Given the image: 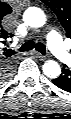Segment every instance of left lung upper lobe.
I'll return each mask as SVG.
<instances>
[{
	"mask_svg": "<svg viewBox=\"0 0 71 119\" xmlns=\"http://www.w3.org/2000/svg\"><path fill=\"white\" fill-rule=\"evenodd\" d=\"M58 16L63 27L70 35L71 29V0H41Z\"/></svg>",
	"mask_w": 71,
	"mask_h": 119,
	"instance_id": "1",
	"label": "left lung upper lobe"
}]
</instances>
